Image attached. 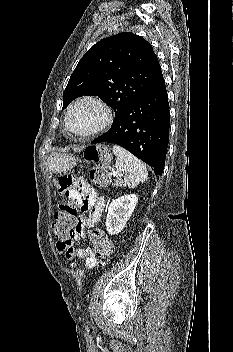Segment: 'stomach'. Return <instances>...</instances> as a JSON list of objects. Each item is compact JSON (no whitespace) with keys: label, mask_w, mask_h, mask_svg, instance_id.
I'll return each instance as SVG.
<instances>
[{"label":"stomach","mask_w":233,"mask_h":352,"mask_svg":"<svg viewBox=\"0 0 233 352\" xmlns=\"http://www.w3.org/2000/svg\"><path fill=\"white\" fill-rule=\"evenodd\" d=\"M48 168L54 173H62L68 171L76 163L75 157L64 153H52L48 157Z\"/></svg>","instance_id":"obj_1"}]
</instances>
